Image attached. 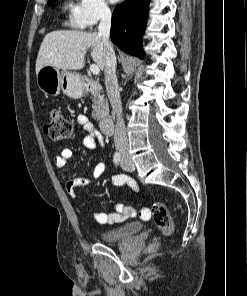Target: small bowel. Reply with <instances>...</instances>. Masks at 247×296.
Returning a JSON list of instances; mask_svg holds the SVG:
<instances>
[{"mask_svg": "<svg viewBox=\"0 0 247 296\" xmlns=\"http://www.w3.org/2000/svg\"><path fill=\"white\" fill-rule=\"evenodd\" d=\"M77 121L86 132L82 140L83 145L90 150H96L98 148L97 129L89 120V118L84 114H79L77 117ZM71 155L72 152L70 149H62L58 155L54 156L55 166L60 169L65 167ZM105 168L106 167L104 163L97 162L93 168L92 177L79 176L71 178L66 174H63L62 178L65 182L67 193L71 197H76V189L81 186L90 185L93 178H98L103 175ZM111 184L115 187L128 185L135 191L139 190L136 182L127 175H113L111 177ZM82 205L84 206V204ZM112 210L113 211L111 213L93 212L92 215L94 220L101 225H113L122 223L134 215V210L131 207H126L120 202L113 203ZM144 212L148 213V209H142L141 214Z\"/></svg>", "mask_w": 247, "mask_h": 296, "instance_id": "obj_1", "label": "small bowel"}]
</instances>
